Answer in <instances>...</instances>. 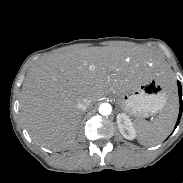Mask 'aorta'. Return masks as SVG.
Returning a JSON list of instances; mask_svg holds the SVG:
<instances>
[{
  "instance_id": "obj_1",
  "label": "aorta",
  "mask_w": 183,
  "mask_h": 183,
  "mask_svg": "<svg viewBox=\"0 0 183 183\" xmlns=\"http://www.w3.org/2000/svg\"><path fill=\"white\" fill-rule=\"evenodd\" d=\"M112 111V107L109 103H102L100 106H99V113L101 115H109Z\"/></svg>"
}]
</instances>
